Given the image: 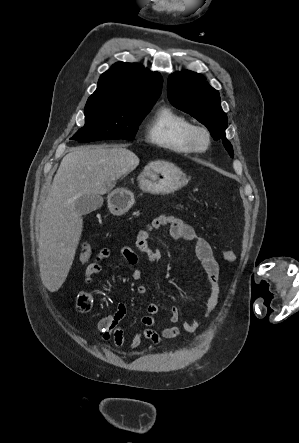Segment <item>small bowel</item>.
<instances>
[{"instance_id":"obj_1","label":"small bowel","mask_w":299,"mask_h":443,"mask_svg":"<svg viewBox=\"0 0 299 443\" xmlns=\"http://www.w3.org/2000/svg\"><path fill=\"white\" fill-rule=\"evenodd\" d=\"M163 226H169L170 234L174 239L191 241L195 245L196 256L201 262L206 276L205 291L208 294L206 302L205 316L216 307L219 298V266L213 254L210 244L200 236L195 229L189 224L176 216L160 215L152 220V222L143 230H140L135 238L134 245L142 253H144L148 261L151 263H158L162 260V252L160 250H153L149 246V239L151 232ZM110 250L107 248L101 249L96 257V260L89 264L85 270V282L91 283L93 277L101 271V262L110 257ZM121 255L127 265L132 269L131 278L133 281H140L143 278V272L136 269L138 263V255L130 246H124L121 249ZM137 291L141 295L148 294V288L140 285ZM92 295L88 291H81L76 299V306L80 311H87L92 305ZM159 307L155 303H150L147 306L146 315L142 317V324L144 330L133 335L131 340L126 343L125 335L120 327V322L127 313L126 305L122 302L117 304L114 313L109 314L100 319L98 322V329L104 340H112L114 345L118 348L135 349L140 344L147 340L152 344L160 343L162 338H175L180 334V329L176 325H169L162 327L160 330L154 329L156 324L155 315L158 313ZM179 319V309L173 307L171 309V322L176 323ZM185 331L192 333L198 327L196 318H192L183 325Z\"/></svg>"}]
</instances>
